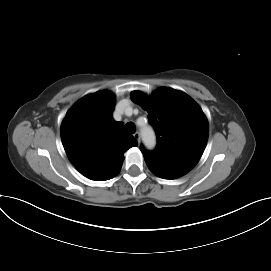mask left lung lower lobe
<instances>
[{
	"instance_id": "0a47b994",
	"label": "left lung lower lobe",
	"mask_w": 271,
	"mask_h": 271,
	"mask_svg": "<svg viewBox=\"0 0 271 271\" xmlns=\"http://www.w3.org/2000/svg\"><path fill=\"white\" fill-rule=\"evenodd\" d=\"M146 164L155 175L161 178L174 179L186 174L184 171L168 168L150 161H146Z\"/></svg>"
}]
</instances>
